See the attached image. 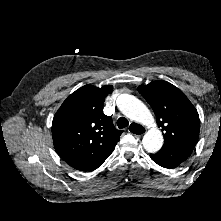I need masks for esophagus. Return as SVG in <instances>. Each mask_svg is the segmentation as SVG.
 I'll list each match as a JSON object with an SVG mask.
<instances>
[{"instance_id":"1","label":"esophagus","mask_w":221,"mask_h":221,"mask_svg":"<svg viewBox=\"0 0 221 221\" xmlns=\"http://www.w3.org/2000/svg\"><path fill=\"white\" fill-rule=\"evenodd\" d=\"M128 131L135 136H142L146 132L144 127L136 123H131Z\"/></svg>"}]
</instances>
